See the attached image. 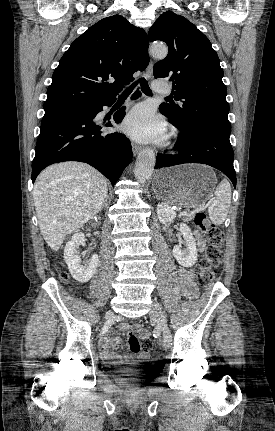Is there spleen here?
Masks as SVG:
<instances>
[{
  "instance_id": "3e777b00",
  "label": "spleen",
  "mask_w": 275,
  "mask_h": 431,
  "mask_svg": "<svg viewBox=\"0 0 275 431\" xmlns=\"http://www.w3.org/2000/svg\"><path fill=\"white\" fill-rule=\"evenodd\" d=\"M231 187L226 179H223L216 187L214 197L210 200L208 214L210 220L216 224H222L228 214L231 203Z\"/></svg>"
}]
</instances>
